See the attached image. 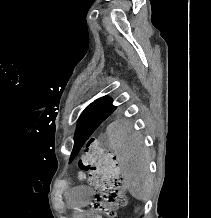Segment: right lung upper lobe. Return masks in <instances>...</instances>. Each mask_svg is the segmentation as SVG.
<instances>
[{
  "instance_id": "right-lung-upper-lobe-1",
  "label": "right lung upper lobe",
  "mask_w": 211,
  "mask_h": 218,
  "mask_svg": "<svg viewBox=\"0 0 211 218\" xmlns=\"http://www.w3.org/2000/svg\"><path fill=\"white\" fill-rule=\"evenodd\" d=\"M95 102H112V100L109 97H102L97 99Z\"/></svg>"
}]
</instances>
